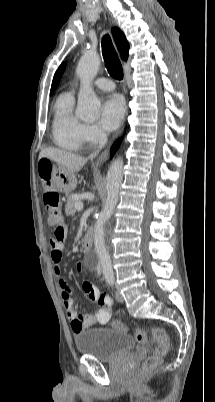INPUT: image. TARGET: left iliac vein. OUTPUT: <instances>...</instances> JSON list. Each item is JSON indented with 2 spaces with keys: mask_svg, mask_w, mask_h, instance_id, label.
Listing matches in <instances>:
<instances>
[{
  "mask_svg": "<svg viewBox=\"0 0 215 402\" xmlns=\"http://www.w3.org/2000/svg\"><path fill=\"white\" fill-rule=\"evenodd\" d=\"M115 297H116V300L118 302H123L124 301V298H123L122 294L120 293V291L118 289L115 291Z\"/></svg>",
  "mask_w": 215,
  "mask_h": 402,
  "instance_id": "obj_1",
  "label": "left iliac vein"
}]
</instances>
